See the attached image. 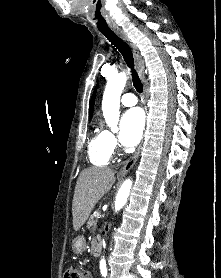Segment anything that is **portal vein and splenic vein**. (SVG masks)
Returning <instances> with one entry per match:
<instances>
[{
  "mask_svg": "<svg viewBox=\"0 0 221 278\" xmlns=\"http://www.w3.org/2000/svg\"><path fill=\"white\" fill-rule=\"evenodd\" d=\"M95 214H96L97 216H100V211H96Z\"/></svg>",
  "mask_w": 221,
  "mask_h": 278,
  "instance_id": "obj_1",
  "label": "portal vein and splenic vein"
}]
</instances>
